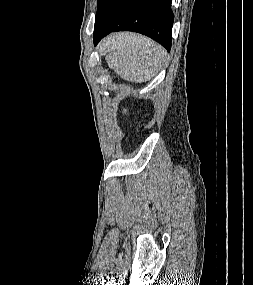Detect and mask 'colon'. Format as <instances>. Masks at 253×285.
Instances as JSON below:
<instances>
[{"label":"colon","instance_id":"obj_1","mask_svg":"<svg viewBox=\"0 0 253 285\" xmlns=\"http://www.w3.org/2000/svg\"><path fill=\"white\" fill-rule=\"evenodd\" d=\"M127 109L126 108H121V113L123 114V115H126L127 114Z\"/></svg>","mask_w":253,"mask_h":285}]
</instances>
